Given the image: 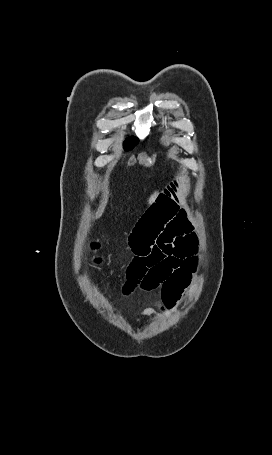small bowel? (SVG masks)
Returning <instances> with one entry per match:
<instances>
[{
    "mask_svg": "<svg viewBox=\"0 0 272 455\" xmlns=\"http://www.w3.org/2000/svg\"><path fill=\"white\" fill-rule=\"evenodd\" d=\"M195 239L187 213L179 203V183L175 182L133 228L129 243L134 257L127 268L124 294L129 295L136 287L144 291L159 289L163 304L172 306L196 268ZM157 313L148 307L141 316Z\"/></svg>",
    "mask_w": 272,
    "mask_h": 455,
    "instance_id": "obj_1",
    "label": "small bowel"
}]
</instances>
